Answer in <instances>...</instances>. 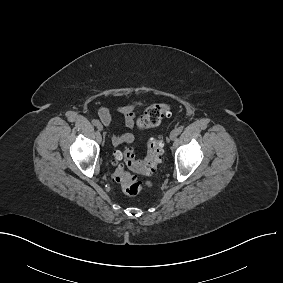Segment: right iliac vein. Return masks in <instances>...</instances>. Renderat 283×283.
<instances>
[{
    "mask_svg": "<svg viewBox=\"0 0 283 283\" xmlns=\"http://www.w3.org/2000/svg\"><path fill=\"white\" fill-rule=\"evenodd\" d=\"M97 129H98L99 131H102V130H103V126H102L101 123L97 125Z\"/></svg>",
    "mask_w": 283,
    "mask_h": 283,
    "instance_id": "obj_1",
    "label": "right iliac vein"
}]
</instances>
